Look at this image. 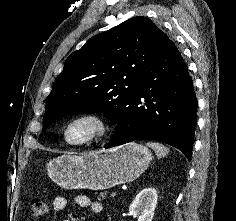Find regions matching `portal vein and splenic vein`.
<instances>
[{
	"label": "portal vein and splenic vein",
	"mask_w": 236,
	"mask_h": 221,
	"mask_svg": "<svg viewBox=\"0 0 236 221\" xmlns=\"http://www.w3.org/2000/svg\"><path fill=\"white\" fill-rule=\"evenodd\" d=\"M116 194H117L116 192H112V193H111V197H115Z\"/></svg>",
	"instance_id": "portal-vein-and-splenic-vein-1"
}]
</instances>
